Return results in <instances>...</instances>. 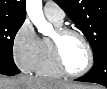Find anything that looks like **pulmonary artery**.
I'll use <instances>...</instances> for the list:
<instances>
[{"label":"pulmonary artery","instance_id":"pulmonary-artery-1","mask_svg":"<svg viewBox=\"0 0 107 89\" xmlns=\"http://www.w3.org/2000/svg\"><path fill=\"white\" fill-rule=\"evenodd\" d=\"M43 10L47 18L53 19L57 22H63L65 13L56 3L52 1L46 2Z\"/></svg>","mask_w":107,"mask_h":89}]
</instances>
